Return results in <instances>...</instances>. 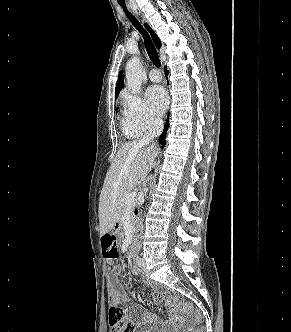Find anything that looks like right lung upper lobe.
Wrapping results in <instances>:
<instances>
[{
    "label": "right lung upper lobe",
    "mask_w": 291,
    "mask_h": 332,
    "mask_svg": "<svg viewBox=\"0 0 291 332\" xmlns=\"http://www.w3.org/2000/svg\"><path fill=\"white\" fill-rule=\"evenodd\" d=\"M145 27L148 29V31L151 34V37L155 43V46L159 49L161 47V43L160 40L158 38V36L156 35V33L149 27L148 24H145ZM124 86V79H123V74L122 72L119 73L118 76V80H117V84H116V90H115V97L118 96L120 90L122 89V87Z\"/></svg>",
    "instance_id": "cb5924a9"
}]
</instances>
